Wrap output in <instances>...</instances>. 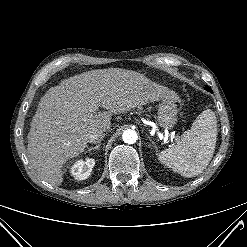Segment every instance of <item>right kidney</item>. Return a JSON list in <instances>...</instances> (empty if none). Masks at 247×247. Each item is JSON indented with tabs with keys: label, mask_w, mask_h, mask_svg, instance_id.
<instances>
[{
	"label": "right kidney",
	"mask_w": 247,
	"mask_h": 247,
	"mask_svg": "<svg viewBox=\"0 0 247 247\" xmlns=\"http://www.w3.org/2000/svg\"><path fill=\"white\" fill-rule=\"evenodd\" d=\"M94 165L95 160L93 158H86L85 161L78 160L71 166L70 173L75 179L84 180L90 176Z\"/></svg>",
	"instance_id": "ca27d5eb"
}]
</instances>
